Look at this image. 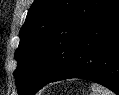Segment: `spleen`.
<instances>
[{
  "instance_id": "obj_1",
  "label": "spleen",
  "mask_w": 119,
  "mask_h": 95,
  "mask_svg": "<svg viewBox=\"0 0 119 95\" xmlns=\"http://www.w3.org/2000/svg\"><path fill=\"white\" fill-rule=\"evenodd\" d=\"M92 95H114L113 92L97 83L91 84Z\"/></svg>"
}]
</instances>
